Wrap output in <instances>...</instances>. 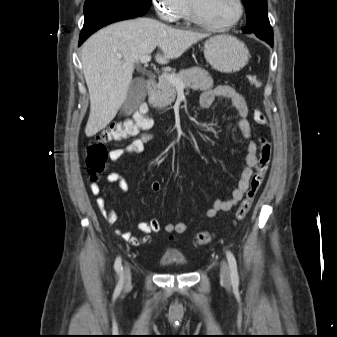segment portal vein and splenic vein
<instances>
[{"mask_svg":"<svg viewBox=\"0 0 337 337\" xmlns=\"http://www.w3.org/2000/svg\"><path fill=\"white\" fill-rule=\"evenodd\" d=\"M150 60H151L150 55H145L140 58V62L143 64L148 63ZM163 76L176 87L177 91L183 92L185 85L181 81H179L178 79H176L175 77H173L168 73H164Z\"/></svg>","mask_w":337,"mask_h":337,"instance_id":"obj_1","label":"portal vein and splenic vein"}]
</instances>
